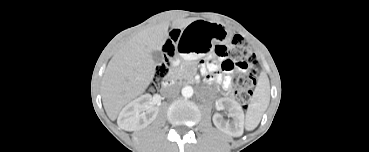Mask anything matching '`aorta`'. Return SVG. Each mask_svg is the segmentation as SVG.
<instances>
[{"label": "aorta", "instance_id": "1", "mask_svg": "<svg viewBox=\"0 0 369 152\" xmlns=\"http://www.w3.org/2000/svg\"><path fill=\"white\" fill-rule=\"evenodd\" d=\"M182 95L184 97H191L193 95L192 87L186 86L182 89Z\"/></svg>", "mask_w": 369, "mask_h": 152}]
</instances>
